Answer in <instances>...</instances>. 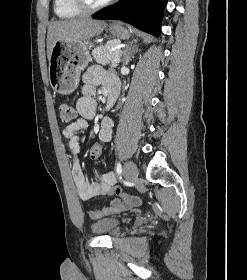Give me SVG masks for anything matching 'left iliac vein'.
I'll use <instances>...</instances> for the list:
<instances>
[{
    "label": "left iliac vein",
    "instance_id": "left-iliac-vein-1",
    "mask_svg": "<svg viewBox=\"0 0 247 280\" xmlns=\"http://www.w3.org/2000/svg\"><path fill=\"white\" fill-rule=\"evenodd\" d=\"M124 175L128 180H133L138 175V169L135 163L128 161L124 167Z\"/></svg>",
    "mask_w": 247,
    "mask_h": 280
}]
</instances>
